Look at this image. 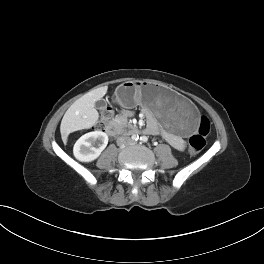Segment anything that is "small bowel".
Listing matches in <instances>:
<instances>
[{"mask_svg":"<svg viewBox=\"0 0 264 264\" xmlns=\"http://www.w3.org/2000/svg\"><path fill=\"white\" fill-rule=\"evenodd\" d=\"M123 115L129 116L130 112H123ZM147 131L152 135H163L168 140V142L177 149H182L184 147V142L180 137L171 133L163 132L155 122L149 123Z\"/></svg>","mask_w":264,"mask_h":264,"instance_id":"obj_1","label":"small bowel"}]
</instances>
